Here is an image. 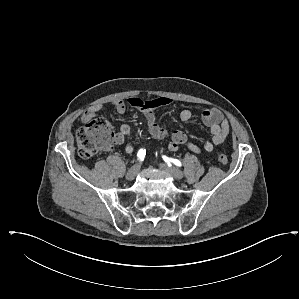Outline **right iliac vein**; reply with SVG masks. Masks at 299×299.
I'll list each match as a JSON object with an SVG mask.
<instances>
[{
	"instance_id": "obj_1",
	"label": "right iliac vein",
	"mask_w": 299,
	"mask_h": 299,
	"mask_svg": "<svg viewBox=\"0 0 299 299\" xmlns=\"http://www.w3.org/2000/svg\"><path fill=\"white\" fill-rule=\"evenodd\" d=\"M140 164L139 163H137V164H135L134 166H132L129 170H128V172H127V174H126V179L127 180H133L135 177H136V175L138 174V172H139V170H140Z\"/></svg>"
}]
</instances>
